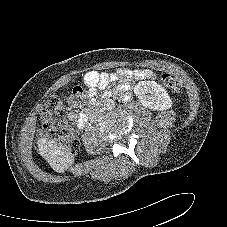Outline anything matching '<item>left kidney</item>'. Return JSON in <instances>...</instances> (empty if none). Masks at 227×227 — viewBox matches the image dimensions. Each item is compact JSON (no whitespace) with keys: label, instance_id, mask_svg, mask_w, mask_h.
Wrapping results in <instances>:
<instances>
[{"label":"left kidney","instance_id":"5707ae66","mask_svg":"<svg viewBox=\"0 0 227 227\" xmlns=\"http://www.w3.org/2000/svg\"><path fill=\"white\" fill-rule=\"evenodd\" d=\"M134 93L141 104L151 110H167L172 106V100L166 89L155 81H141L134 87Z\"/></svg>","mask_w":227,"mask_h":227}]
</instances>
